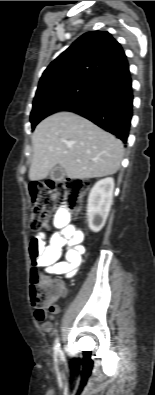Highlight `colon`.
I'll return each mask as SVG.
<instances>
[{
    "instance_id": "colon-1",
    "label": "colon",
    "mask_w": 155,
    "mask_h": 395,
    "mask_svg": "<svg viewBox=\"0 0 155 395\" xmlns=\"http://www.w3.org/2000/svg\"><path fill=\"white\" fill-rule=\"evenodd\" d=\"M89 187L88 180L77 178L31 184L30 224L32 229L40 230L48 227L58 199L62 200L67 211H80L82 199ZM60 295L61 287L57 280L44 275L41 270L32 269L30 301L36 310H54L57 307L56 302Z\"/></svg>"
}]
</instances>
